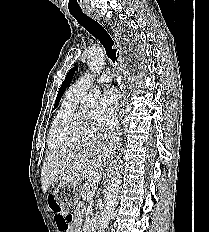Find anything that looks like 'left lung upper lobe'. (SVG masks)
Masks as SVG:
<instances>
[{"instance_id":"5c2ea615","label":"left lung upper lobe","mask_w":209,"mask_h":232,"mask_svg":"<svg viewBox=\"0 0 209 232\" xmlns=\"http://www.w3.org/2000/svg\"><path fill=\"white\" fill-rule=\"evenodd\" d=\"M74 72H75V68H72L67 73L64 82L62 83L61 87L59 88V91H58V94H57V98H56V101H55V105H54V109L58 106L59 101L61 99V96H62L63 92L69 86L71 78L74 76Z\"/></svg>"}]
</instances>
